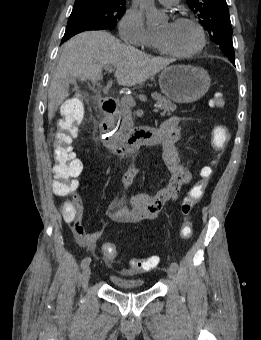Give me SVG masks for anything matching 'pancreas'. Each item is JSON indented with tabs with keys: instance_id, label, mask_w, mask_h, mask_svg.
<instances>
[{
	"instance_id": "1",
	"label": "pancreas",
	"mask_w": 261,
	"mask_h": 340,
	"mask_svg": "<svg viewBox=\"0 0 261 340\" xmlns=\"http://www.w3.org/2000/svg\"><path fill=\"white\" fill-rule=\"evenodd\" d=\"M151 96L154 100L157 101V104L160 105V109L162 110V112L160 113L161 116L170 115L172 112L176 110V105L172 103V101L162 96L161 94L153 93ZM119 118L121 120V124L117 134L123 136L134 126L130 106H128L124 101L121 105Z\"/></svg>"
}]
</instances>
